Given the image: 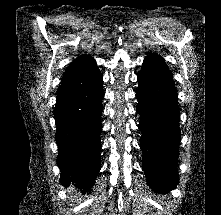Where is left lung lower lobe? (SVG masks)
Masks as SVG:
<instances>
[{
	"mask_svg": "<svg viewBox=\"0 0 221 215\" xmlns=\"http://www.w3.org/2000/svg\"><path fill=\"white\" fill-rule=\"evenodd\" d=\"M137 81L143 168L148 185L156 192H166L178 183L176 163L181 133L176 88L161 57L147 56Z\"/></svg>",
	"mask_w": 221,
	"mask_h": 215,
	"instance_id": "obj_1",
	"label": "left lung lower lobe"
}]
</instances>
